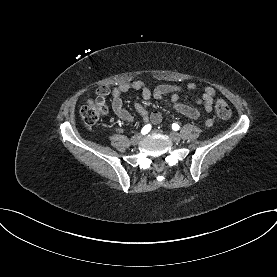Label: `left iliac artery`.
Wrapping results in <instances>:
<instances>
[{
  "instance_id": "1",
  "label": "left iliac artery",
  "mask_w": 277,
  "mask_h": 277,
  "mask_svg": "<svg viewBox=\"0 0 277 277\" xmlns=\"http://www.w3.org/2000/svg\"><path fill=\"white\" fill-rule=\"evenodd\" d=\"M172 129L175 131L179 130V125L176 123L172 124Z\"/></svg>"
}]
</instances>
